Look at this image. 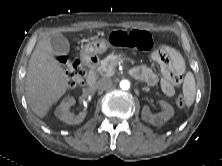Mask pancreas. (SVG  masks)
Here are the masks:
<instances>
[{
    "instance_id": "pancreas-1",
    "label": "pancreas",
    "mask_w": 222,
    "mask_h": 166,
    "mask_svg": "<svg viewBox=\"0 0 222 166\" xmlns=\"http://www.w3.org/2000/svg\"><path fill=\"white\" fill-rule=\"evenodd\" d=\"M121 55L110 54L101 61V65L98 68V72L105 77L112 76L114 74V69L117 66L118 60Z\"/></svg>"
}]
</instances>
